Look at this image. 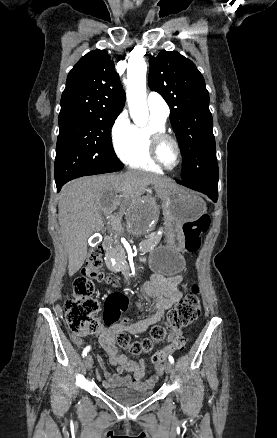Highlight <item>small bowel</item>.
<instances>
[{
    "label": "small bowel",
    "instance_id": "c3829d8e",
    "mask_svg": "<svg viewBox=\"0 0 277 438\" xmlns=\"http://www.w3.org/2000/svg\"><path fill=\"white\" fill-rule=\"evenodd\" d=\"M182 287L181 275L165 276L161 273H155L144 285V293L155 300L150 316L127 325L117 324L111 327H101L97 332L91 334L73 333L71 335L72 341L78 346L84 345L89 335L98 339L101 347L109 357L110 363L116 367V371L111 373L107 371L108 365L100 361L102 364L101 370L107 371L105 374L106 381L104 382L106 387H130L136 390H148L155 386L163 375V364L154 363V373L145 379V361L143 359L131 361L126 355L120 353L116 345V335L120 332L139 335L144 333L151 325L161 322L167 311L182 298ZM180 336L181 332L179 330L170 332L169 340L171 343L163 350H160L165 352L166 357L173 353L176 348L175 340ZM124 372H130L132 375H123Z\"/></svg>",
    "mask_w": 277,
    "mask_h": 438
}]
</instances>
